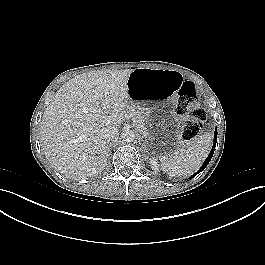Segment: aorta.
I'll list each match as a JSON object with an SVG mask.
<instances>
[{"mask_svg":"<svg viewBox=\"0 0 265 265\" xmlns=\"http://www.w3.org/2000/svg\"><path fill=\"white\" fill-rule=\"evenodd\" d=\"M121 138L127 143L133 142L135 139V133L131 130H126L121 134Z\"/></svg>","mask_w":265,"mask_h":265,"instance_id":"aorta-1","label":"aorta"}]
</instances>
